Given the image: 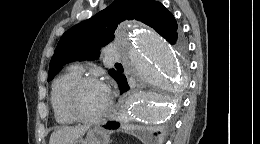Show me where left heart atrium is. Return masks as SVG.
Returning <instances> with one entry per match:
<instances>
[{
	"mask_svg": "<svg viewBox=\"0 0 260 144\" xmlns=\"http://www.w3.org/2000/svg\"><path fill=\"white\" fill-rule=\"evenodd\" d=\"M105 88V90H106V93H107V95H108V89L106 88V87H104Z\"/></svg>",
	"mask_w": 260,
	"mask_h": 144,
	"instance_id": "39dd6f15",
	"label": "left heart atrium"
}]
</instances>
